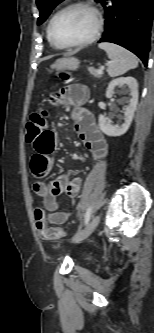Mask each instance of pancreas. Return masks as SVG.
Segmentation results:
<instances>
[{
  "instance_id": "obj_1",
  "label": "pancreas",
  "mask_w": 154,
  "mask_h": 333,
  "mask_svg": "<svg viewBox=\"0 0 154 333\" xmlns=\"http://www.w3.org/2000/svg\"><path fill=\"white\" fill-rule=\"evenodd\" d=\"M89 72H90L91 75H93L94 77H97V78L101 77V75H102V73L100 74V73L98 72V70H96V69H94V68H90V69H89Z\"/></svg>"
}]
</instances>
